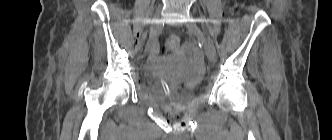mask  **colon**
<instances>
[{
    "mask_svg": "<svg viewBox=\"0 0 332 140\" xmlns=\"http://www.w3.org/2000/svg\"><path fill=\"white\" fill-rule=\"evenodd\" d=\"M180 44V40L177 36H170L166 39L162 46V53L175 51Z\"/></svg>",
    "mask_w": 332,
    "mask_h": 140,
    "instance_id": "colon-1",
    "label": "colon"
}]
</instances>
